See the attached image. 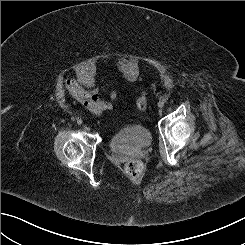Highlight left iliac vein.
I'll list each match as a JSON object with an SVG mask.
<instances>
[{
  "label": "left iliac vein",
  "mask_w": 245,
  "mask_h": 245,
  "mask_svg": "<svg viewBox=\"0 0 245 245\" xmlns=\"http://www.w3.org/2000/svg\"><path fill=\"white\" fill-rule=\"evenodd\" d=\"M163 106H164L163 101H159V102H158V107L162 108Z\"/></svg>",
  "instance_id": "4c4485c4"
}]
</instances>
